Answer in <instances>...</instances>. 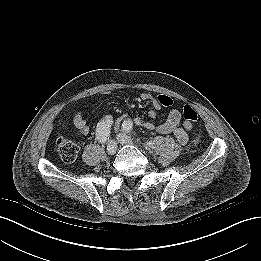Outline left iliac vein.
Segmentation results:
<instances>
[{"instance_id": "1", "label": "left iliac vein", "mask_w": 261, "mask_h": 261, "mask_svg": "<svg viewBox=\"0 0 261 261\" xmlns=\"http://www.w3.org/2000/svg\"><path fill=\"white\" fill-rule=\"evenodd\" d=\"M117 140L121 144H132L133 143L131 137L126 135L125 133H119L117 135Z\"/></svg>"}]
</instances>
